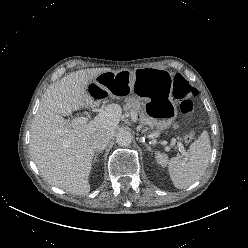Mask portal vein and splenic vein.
<instances>
[{"label": "portal vein and splenic vein", "instance_id": "18ae733b", "mask_svg": "<svg viewBox=\"0 0 248 248\" xmlns=\"http://www.w3.org/2000/svg\"><path fill=\"white\" fill-rule=\"evenodd\" d=\"M131 116H132V119H136V114L134 113H131ZM76 123H79V124H85L88 122V118L86 117H79L78 119L74 120Z\"/></svg>", "mask_w": 248, "mask_h": 248}]
</instances>
